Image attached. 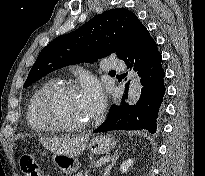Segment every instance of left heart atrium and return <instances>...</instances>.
<instances>
[{
    "instance_id": "39dd6f15",
    "label": "left heart atrium",
    "mask_w": 205,
    "mask_h": 176,
    "mask_svg": "<svg viewBox=\"0 0 205 176\" xmlns=\"http://www.w3.org/2000/svg\"><path fill=\"white\" fill-rule=\"evenodd\" d=\"M80 99L90 116L96 115L104 107L105 98L100 86L93 82H85L79 92Z\"/></svg>"
}]
</instances>
